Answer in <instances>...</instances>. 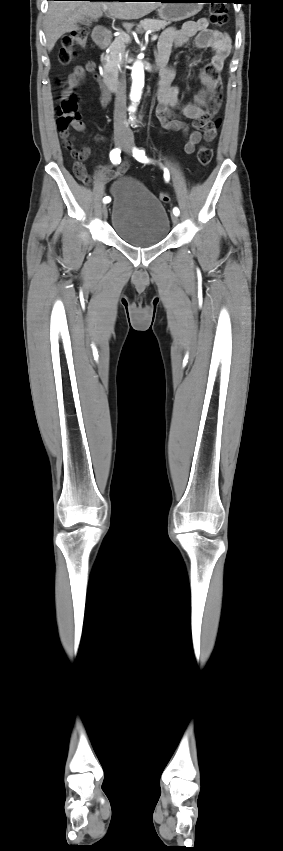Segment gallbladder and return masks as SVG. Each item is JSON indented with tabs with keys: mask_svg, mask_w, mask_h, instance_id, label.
I'll list each match as a JSON object with an SVG mask.
<instances>
[{
	"mask_svg": "<svg viewBox=\"0 0 283 851\" xmlns=\"http://www.w3.org/2000/svg\"><path fill=\"white\" fill-rule=\"evenodd\" d=\"M77 23L83 24V23H88V21L85 20V19H82V20H79Z\"/></svg>",
	"mask_w": 283,
	"mask_h": 851,
	"instance_id": "obj_1",
	"label": "gallbladder"
}]
</instances>
